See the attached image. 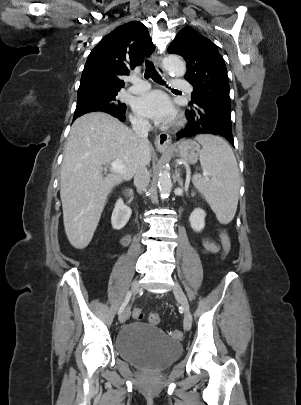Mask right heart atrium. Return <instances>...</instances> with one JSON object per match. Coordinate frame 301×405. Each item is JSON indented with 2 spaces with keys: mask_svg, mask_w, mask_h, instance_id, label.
Here are the masks:
<instances>
[{
  "mask_svg": "<svg viewBox=\"0 0 301 405\" xmlns=\"http://www.w3.org/2000/svg\"><path fill=\"white\" fill-rule=\"evenodd\" d=\"M131 121H132L133 125L138 126V127H144L147 124V122L144 119H142L138 116H132Z\"/></svg>",
  "mask_w": 301,
  "mask_h": 405,
  "instance_id": "right-heart-atrium-1",
  "label": "right heart atrium"
}]
</instances>
